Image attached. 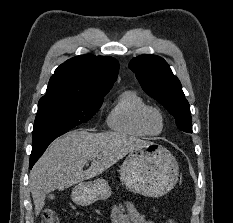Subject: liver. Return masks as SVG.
<instances>
[{"label": "liver", "mask_w": 233, "mask_h": 223, "mask_svg": "<svg viewBox=\"0 0 233 223\" xmlns=\"http://www.w3.org/2000/svg\"><path fill=\"white\" fill-rule=\"evenodd\" d=\"M143 143L142 139L125 133H89L86 129L68 131L52 141L29 173L35 215L45 205L49 191L66 189L100 175L135 147H143ZM87 161L91 163L84 169Z\"/></svg>", "instance_id": "1"}]
</instances>
